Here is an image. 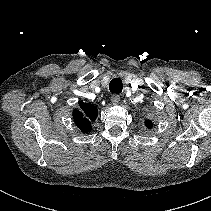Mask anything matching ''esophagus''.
<instances>
[{"label": "esophagus", "instance_id": "34e87169", "mask_svg": "<svg viewBox=\"0 0 211 211\" xmlns=\"http://www.w3.org/2000/svg\"><path fill=\"white\" fill-rule=\"evenodd\" d=\"M121 100V97L119 95H113L111 98V101L114 105H117Z\"/></svg>", "mask_w": 211, "mask_h": 211}]
</instances>
